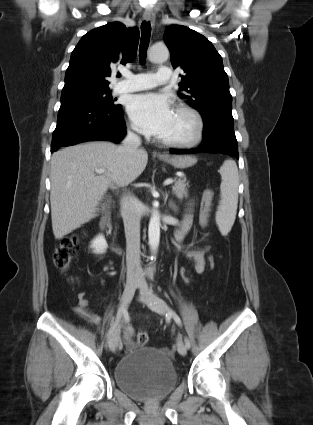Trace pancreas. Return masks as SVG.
<instances>
[{
  "label": "pancreas",
  "instance_id": "1",
  "mask_svg": "<svg viewBox=\"0 0 313 425\" xmlns=\"http://www.w3.org/2000/svg\"><path fill=\"white\" fill-rule=\"evenodd\" d=\"M187 187H189V182H187L186 177L183 175L178 180H174V185L172 186V192L174 195L177 196L179 199H183L184 197L188 196V190Z\"/></svg>",
  "mask_w": 313,
  "mask_h": 425
}]
</instances>
